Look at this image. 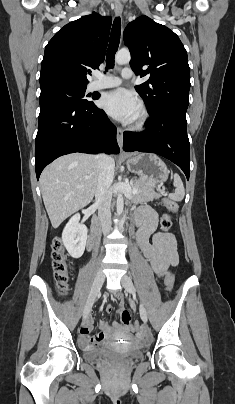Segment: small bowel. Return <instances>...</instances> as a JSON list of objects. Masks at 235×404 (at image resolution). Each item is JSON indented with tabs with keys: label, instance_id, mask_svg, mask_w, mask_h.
<instances>
[{
	"label": "small bowel",
	"instance_id": "1",
	"mask_svg": "<svg viewBox=\"0 0 235 404\" xmlns=\"http://www.w3.org/2000/svg\"><path fill=\"white\" fill-rule=\"evenodd\" d=\"M138 221L142 223L137 236L138 246L149 261L153 271L159 277H163L179 262L177 240L172 233L158 232L154 234L152 242H149V237L157 226V217L155 212L148 206L141 207ZM119 303L122 307V299H119ZM131 309L135 311L133 304ZM106 312H112L110 305L106 306ZM99 328L100 332L97 335H91L93 322L88 319L80 327V344L83 347H91L97 344L110 345L113 340H119V337H130V329L117 322L111 326L107 322L101 321Z\"/></svg>",
	"mask_w": 235,
	"mask_h": 404
}]
</instances>
